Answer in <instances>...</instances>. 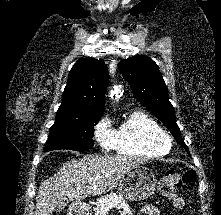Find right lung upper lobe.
<instances>
[{
  "label": "right lung upper lobe",
  "mask_w": 221,
  "mask_h": 215,
  "mask_svg": "<svg viewBox=\"0 0 221 215\" xmlns=\"http://www.w3.org/2000/svg\"><path fill=\"white\" fill-rule=\"evenodd\" d=\"M109 74L102 60L81 58L72 67L57 113L103 114Z\"/></svg>",
  "instance_id": "1"
}]
</instances>
